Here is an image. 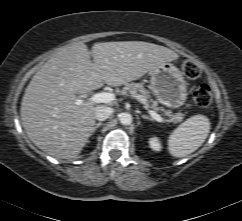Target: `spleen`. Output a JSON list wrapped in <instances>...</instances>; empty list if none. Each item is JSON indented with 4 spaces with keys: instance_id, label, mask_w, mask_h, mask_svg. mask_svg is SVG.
I'll return each mask as SVG.
<instances>
[{
    "instance_id": "spleen-1",
    "label": "spleen",
    "mask_w": 242,
    "mask_h": 221,
    "mask_svg": "<svg viewBox=\"0 0 242 221\" xmlns=\"http://www.w3.org/2000/svg\"><path fill=\"white\" fill-rule=\"evenodd\" d=\"M210 132V121L204 115H194L172 131L168 139V149L172 156L186 157L196 151Z\"/></svg>"
}]
</instances>
